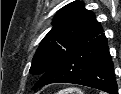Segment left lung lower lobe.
<instances>
[{
  "label": "left lung lower lobe",
  "instance_id": "obj_1",
  "mask_svg": "<svg viewBox=\"0 0 121 94\" xmlns=\"http://www.w3.org/2000/svg\"><path fill=\"white\" fill-rule=\"evenodd\" d=\"M51 83H73L118 94L104 33L62 58L41 76L33 90Z\"/></svg>",
  "mask_w": 121,
  "mask_h": 94
}]
</instances>
